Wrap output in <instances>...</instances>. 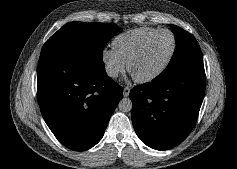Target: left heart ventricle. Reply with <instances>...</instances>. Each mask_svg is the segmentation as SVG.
<instances>
[{"instance_id":"left-heart-ventricle-1","label":"left heart ventricle","mask_w":237,"mask_h":169,"mask_svg":"<svg viewBox=\"0 0 237 169\" xmlns=\"http://www.w3.org/2000/svg\"><path fill=\"white\" fill-rule=\"evenodd\" d=\"M172 48V38L168 33L155 37L142 55L132 64L131 70L136 77H144L156 71L167 59Z\"/></svg>"}]
</instances>
